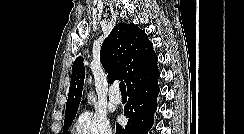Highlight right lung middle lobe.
<instances>
[{"instance_id": "dd1d6c3e", "label": "right lung middle lobe", "mask_w": 244, "mask_h": 134, "mask_svg": "<svg viewBox=\"0 0 244 134\" xmlns=\"http://www.w3.org/2000/svg\"><path fill=\"white\" fill-rule=\"evenodd\" d=\"M74 118H75V115L74 116H71V117L65 118V120H64L63 134H67L68 129H69L70 125L72 124Z\"/></svg>"}]
</instances>
